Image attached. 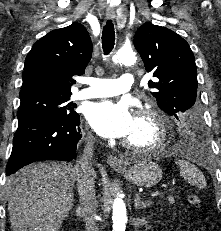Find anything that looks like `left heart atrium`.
I'll use <instances>...</instances> for the list:
<instances>
[{
  "mask_svg": "<svg viewBox=\"0 0 221 231\" xmlns=\"http://www.w3.org/2000/svg\"><path fill=\"white\" fill-rule=\"evenodd\" d=\"M87 120L102 137L125 138L134 127L135 117L126 103L107 100L92 104Z\"/></svg>",
  "mask_w": 221,
  "mask_h": 231,
  "instance_id": "obj_1",
  "label": "left heart atrium"
}]
</instances>
